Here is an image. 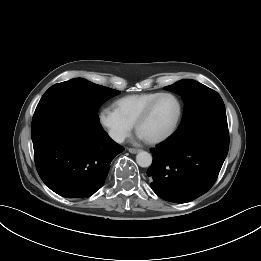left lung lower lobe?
Masks as SVG:
<instances>
[{"mask_svg":"<svg viewBox=\"0 0 261 261\" xmlns=\"http://www.w3.org/2000/svg\"><path fill=\"white\" fill-rule=\"evenodd\" d=\"M228 149L227 118L175 132L150 150L153 163L147 175L152 190L170 202L187 203L196 199L215 183Z\"/></svg>","mask_w":261,"mask_h":261,"instance_id":"0a47b994","label":"left lung lower lobe"}]
</instances>
